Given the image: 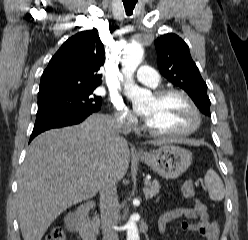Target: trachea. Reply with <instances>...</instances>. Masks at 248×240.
Listing matches in <instances>:
<instances>
[{
    "label": "trachea",
    "instance_id": "obj_1",
    "mask_svg": "<svg viewBox=\"0 0 248 240\" xmlns=\"http://www.w3.org/2000/svg\"><path fill=\"white\" fill-rule=\"evenodd\" d=\"M136 3H137V0H133L131 2L123 1L124 8H125L126 14L128 16L132 15L133 9H134Z\"/></svg>",
    "mask_w": 248,
    "mask_h": 240
}]
</instances>
